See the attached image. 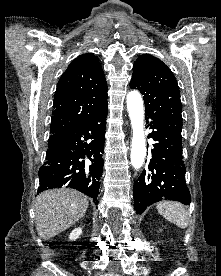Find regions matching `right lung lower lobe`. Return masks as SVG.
Listing matches in <instances>:
<instances>
[{"label":"right lung lower lobe","instance_id":"right-lung-lower-lobe-1","mask_svg":"<svg viewBox=\"0 0 221 276\" xmlns=\"http://www.w3.org/2000/svg\"><path fill=\"white\" fill-rule=\"evenodd\" d=\"M108 108L59 138L46 152V161L39 169L38 193L61 186L74 188L93 198L97 205L99 180Z\"/></svg>","mask_w":221,"mask_h":276}]
</instances>
